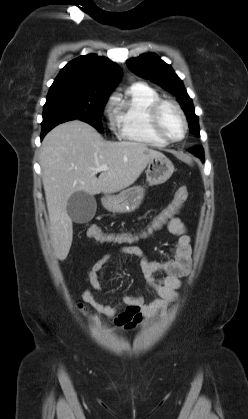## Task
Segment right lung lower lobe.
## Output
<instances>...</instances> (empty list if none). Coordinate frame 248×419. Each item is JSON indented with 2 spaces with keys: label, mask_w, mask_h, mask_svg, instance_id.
<instances>
[{
  "label": "right lung lower lobe",
  "mask_w": 248,
  "mask_h": 419,
  "mask_svg": "<svg viewBox=\"0 0 248 419\" xmlns=\"http://www.w3.org/2000/svg\"><path fill=\"white\" fill-rule=\"evenodd\" d=\"M66 121H70V120H61V121H56V122H53V123H51V124H48V125H45V126H42V132H41V139H43V137L53 128V127H55L56 125H58V124H60V123H63V122H66Z\"/></svg>",
  "instance_id": "98d812e1"
}]
</instances>
